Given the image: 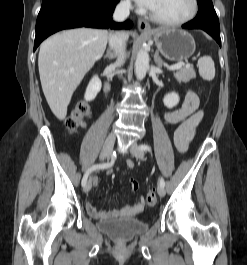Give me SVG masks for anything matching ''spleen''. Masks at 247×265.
Instances as JSON below:
<instances>
[{
    "label": "spleen",
    "instance_id": "1",
    "mask_svg": "<svg viewBox=\"0 0 247 265\" xmlns=\"http://www.w3.org/2000/svg\"><path fill=\"white\" fill-rule=\"evenodd\" d=\"M199 74L207 81H211L215 77L214 61L210 56L201 57L198 60Z\"/></svg>",
    "mask_w": 247,
    "mask_h": 265
}]
</instances>
